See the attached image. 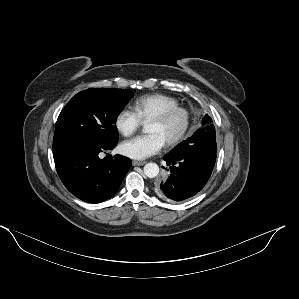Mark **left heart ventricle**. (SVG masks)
<instances>
[{
	"label": "left heart ventricle",
	"instance_id": "obj_1",
	"mask_svg": "<svg viewBox=\"0 0 299 299\" xmlns=\"http://www.w3.org/2000/svg\"><path fill=\"white\" fill-rule=\"evenodd\" d=\"M182 123L183 117L178 114L164 123L150 121L148 123L147 131L149 133L159 134L163 138V140L166 141L178 132Z\"/></svg>",
	"mask_w": 299,
	"mask_h": 299
}]
</instances>
